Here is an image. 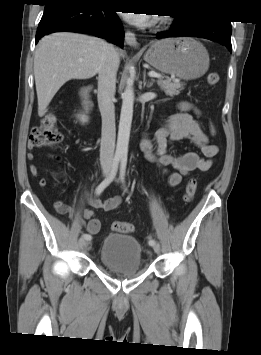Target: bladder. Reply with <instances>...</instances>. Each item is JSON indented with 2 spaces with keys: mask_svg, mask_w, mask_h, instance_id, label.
Masks as SVG:
<instances>
[{
  "mask_svg": "<svg viewBox=\"0 0 261 355\" xmlns=\"http://www.w3.org/2000/svg\"><path fill=\"white\" fill-rule=\"evenodd\" d=\"M100 261L117 275L132 276L142 269V246L132 235L108 234L102 242Z\"/></svg>",
  "mask_w": 261,
  "mask_h": 355,
  "instance_id": "bladder-1",
  "label": "bladder"
}]
</instances>
